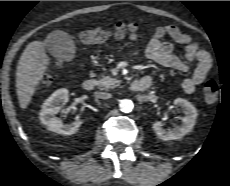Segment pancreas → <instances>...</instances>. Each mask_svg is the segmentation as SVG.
<instances>
[{"mask_svg": "<svg viewBox=\"0 0 230 186\" xmlns=\"http://www.w3.org/2000/svg\"><path fill=\"white\" fill-rule=\"evenodd\" d=\"M120 83V80L106 76L97 81V86L100 90H109L117 87Z\"/></svg>", "mask_w": 230, "mask_h": 186, "instance_id": "pancreas-1", "label": "pancreas"}]
</instances>
